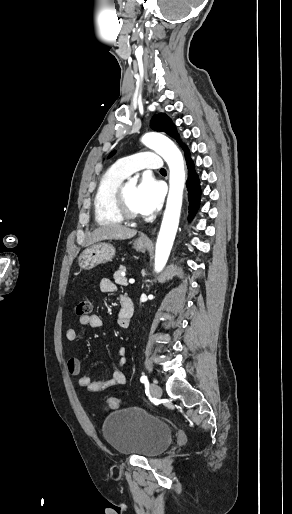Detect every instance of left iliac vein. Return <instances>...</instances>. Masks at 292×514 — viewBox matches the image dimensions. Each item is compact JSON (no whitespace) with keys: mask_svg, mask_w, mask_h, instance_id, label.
Here are the masks:
<instances>
[{"mask_svg":"<svg viewBox=\"0 0 292 514\" xmlns=\"http://www.w3.org/2000/svg\"><path fill=\"white\" fill-rule=\"evenodd\" d=\"M150 391L154 398L160 399L162 396V389L160 386H158L155 382L151 383L150 385Z\"/></svg>","mask_w":292,"mask_h":514,"instance_id":"obj_1","label":"left iliac vein"}]
</instances>
